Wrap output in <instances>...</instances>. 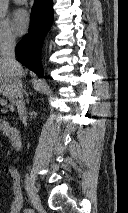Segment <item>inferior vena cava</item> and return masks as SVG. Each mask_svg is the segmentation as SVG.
Listing matches in <instances>:
<instances>
[{"label": "inferior vena cava", "mask_w": 128, "mask_h": 213, "mask_svg": "<svg viewBox=\"0 0 128 213\" xmlns=\"http://www.w3.org/2000/svg\"><path fill=\"white\" fill-rule=\"evenodd\" d=\"M15 37L7 35L4 37L1 45V58L9 67L10 74L14 78L11 96L13 103L16 104L19 118L25 124L27 121L26 106L23 100V87L21 77L23 75V69L21 65L15 59Z\"/></svg>", "instance_id": "602c4592"}]
</instances>
